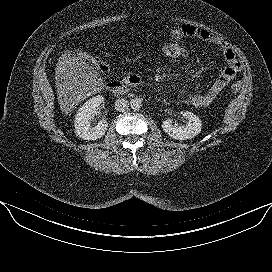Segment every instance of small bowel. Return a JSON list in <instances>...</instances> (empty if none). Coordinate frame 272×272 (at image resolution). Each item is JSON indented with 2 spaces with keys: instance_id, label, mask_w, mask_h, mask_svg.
Segmentation results:
<instances>
[{
  "instance_id": "1",
  "label": "small bowel",
  "mask_w": 272,
  "mask_h": 272,
  "mask_svg": "<svg viewBox=\"0 0 272 272\" xmlns=\"http://www.w3.org/2000/svg\"><path fill=\"white\" fill-rule=\"evenodd\" d=\"M172 39L180 40L191 37L216 46L221 52L226 64L220 69L219 75L211 86L203 93H196L184 98V103L197 108L209 106L223 91V89L234 79L240 70V63L234 51L217 35L189 24H176L171 28Z\"/></svg>"
}]
</instances>
